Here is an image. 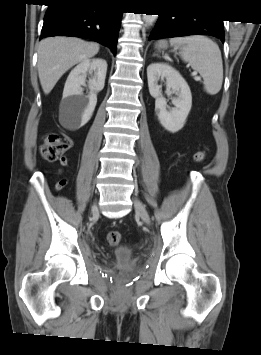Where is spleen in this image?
Masks as SVG:
<instances>
[{"label": "spleen", "instance_id": "3e777b00", "mask_svg": "<svg viewBox=\"0 0 261 355\" xmlns=\"http://www.w3.org/2000/svg\"><path fill=\"white\" fill-rule=\"evenodd\" d=\"M170 44L180 48V56L204 80V90L210 94H217L223 82V63L218 45L211 39L201 35L175 37Z\"/></svg>", "mask_w": 261, "mask_h": 355}]
</instances>
